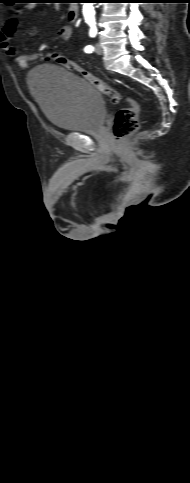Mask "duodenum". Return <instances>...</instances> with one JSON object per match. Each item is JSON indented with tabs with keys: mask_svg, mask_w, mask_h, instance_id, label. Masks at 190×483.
Wrapping results in <instances>:
<instances>
[{
	"mask_svg": "<svg viewBox=\"0 0 190 483\" xmlns=\"http://www.w3.org/2000/svg\"><path fill=\"white\" fill-rule=\"evenodd\" d=\"M78 15H79V7L76 3H72L68 7V19L72 22L76 21L78 18Z\"/></svg>",
	"mask_w": 190,
	"mask_h": 483,
	"instance_id": "410a0bca",
	"label": "duodenum"
}]
</instances>
